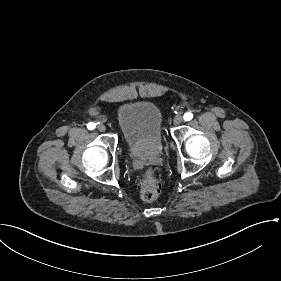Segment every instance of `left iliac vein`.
I'll return each instance as SVG.
<instances>
[{
	"label": "left iliac vein",
	"mask_w": 281,
	"mask_h": 281,
	"mask_svg": "<svg viewBox=\"0 0 281 281\" xmlns=\"http://www.w3.org/2000/svg\"><path fill=\"white\" fill-rule=\"evenodd\" d=\"M183 122V117L181 115H177L175 116L174 120H173V124L174 125H179Z\"/></svg>",
	"instance_id": "4c4485c4"
}]
</instances>
